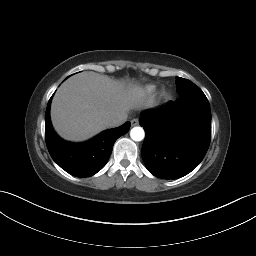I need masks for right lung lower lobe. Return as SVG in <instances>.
<instances>
[{
    "mask_svg": "<svg viewBox=\"0 0 256 256\" xmlns=\"http://www.w3.org/2000/svg\"><path fill=\"white\" fill-rule=\"evenodd\" d=\"M50 98L45 113V139L53 160L73 176L85 178L100 171L107 163L117 138L127 133L130 122L120 127L103 131L85 143H70L62 140L53 130L50 121Z\"/></svg>",
    "mask_w": 256,
    "mask_h": 256,
    "instance_id": "1",
    "label": "right lung lower lobe"
}]
</instances>
